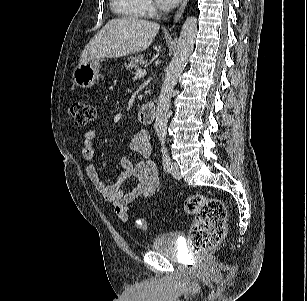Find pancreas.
I'll return each instance as SVG.
<instances>
[{"label":"pancreas","mask_w":307,"mask_h":301,"mask_svg":"<svg viewBox=\"0 0 307 301\" xmlns=\"http://www.w3.org/2000/svg\"><path fill=\"white\" fill-rule=\"evenodd\" d=\"M146 61L144 59L143 55H138V56H131L130 58H128V62L125 63V68L129 71H133L136 70L139 65H145Z\"/></svg>","instance_id":"1"}]
</instances>
